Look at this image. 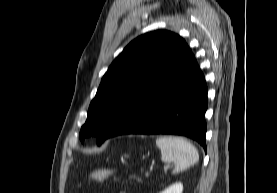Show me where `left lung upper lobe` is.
Wrapping results in <instances>:
<instances>
[{
	"instance_id": "left-lung-upper-lobe-1",
	"label": "left lung upper lobe",
	"mask_w": 277,
	"mask_h": 193,
	"mask_svg": "<svg viewBox=\"0 0 277 193\" xmlns=\"http://www.w3.org/2000/svg\"><path fill=\"white\" fill-rule=\"evenodd\" d=\"M192 56L177 34L157 30L133 40L101 80L79 137L95 135L100 145L127 112L173 75Z\"/></svg>"
}]
</instances>
